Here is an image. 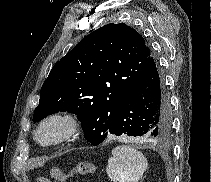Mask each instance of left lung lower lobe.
I'll return each instance as SVG.
<instances>
[{
  "mask_svg": "<svg viewBox=\"0 0 211 182\" xmlns=\"http://www.w3.org/2000/svg\"><path fill=\"white\" fill-rule=\"evenodd\" d=\"M171 121L163 76L151 57L141 81L120 106L111 133L153 140L169 132Z\"/></svg>",
  "mask_w": 211,
  "mask_h": 182,
  "instance_id": "left-lung-lower-lobe-1",
  "label": "left lung lower lobe"
}]
</instances>
